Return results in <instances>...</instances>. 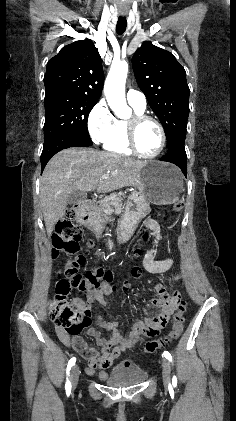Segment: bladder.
Returning <instances> with one entry per match:
<instances>
[{
  "label": "bladder",
  "instance_id": "31cf9c89",
  "mask_svg": "<svg viewBox=\"0 0 236 421\" xmlns=\"http://www.w3.org/2000/svg\"><path fill=\"white\" fill-rule=\"evenodd\" d=\"M147 373L143 372L135 360L124 359L117 362L107 373L104 382L111 386L138 384L147 379Z\"/></svg>",
  "mask_w": 236,
  "mask_h": 421
}]
</instances>
